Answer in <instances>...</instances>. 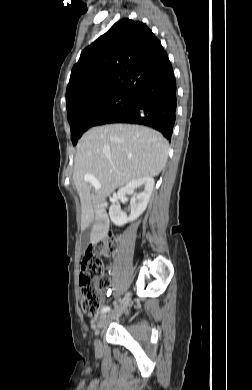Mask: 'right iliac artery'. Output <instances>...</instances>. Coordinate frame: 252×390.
<instances>
[{
    "instance_id": "82829eb1",
    "label": "right iliac artery",
    "mask_w": 252,
    "mask_h": 390,
    "mask_svg": "<svg viewBox=\"0 0 252 390\" xmlns=\"http://www.w3.org/2000/svg\"><path fill=\"white\" fill-rule=\"evenodd\" d=\"M110 311V307L109 306H105V307H103V309H102V313H107V312H109Z\"/></svg>"
}]
</instances>
